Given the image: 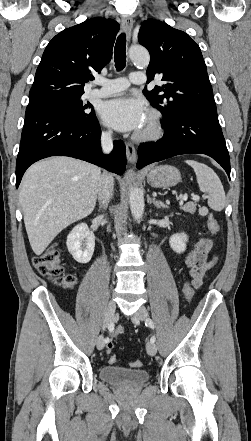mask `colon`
<instances>
[{"label": "colon", "mask_w": 251, "mask_h": 441, "mask_svg": "<svg viewBox=\"0 0 251 441\" xmlns=\"http://www.w3.org/2000/svg\"><path fill=\"white\" fill-rule=\"evenodd\" d=\"M207 225L212 234H217L219 232V223L211 213L207 216ZM33 264L42 276L47 277L59 285L68 287L73 285L75 282V277L65 272V269L61 263L60 252L57 245L49 246L40 255L36 256L33 260ZM194 287L195 285L193 281L187 282L184 286V294L188 301L193 298ZM113 349V342H109L107 345V352L111 353ZM116 361V356L111 354L108 358V362L110 364H114ZM130 365L133 368H140L142 366V362L140 360H134Z\"/></svg>", "instance_id": "1"}]
</instances>
